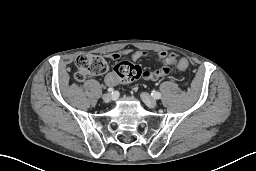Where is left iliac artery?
Here are the masks:
<instances>
[{"instance_id":"44dca946","label":"left iliac artery","mask_w":256,"mask_h":171,"mask_svg":"<svg viewBox=\"0 0 256 171\" xmlns=\"http://www.w3.org/2000/svg\"><path fill=\"white\" fill-rule=\"evenodd\" d=\"M152 96L155 98V99H160L161 98V94L159 92H156V91H153L152 92Z\"/></svg>"}]
</instances>
